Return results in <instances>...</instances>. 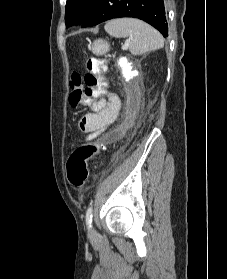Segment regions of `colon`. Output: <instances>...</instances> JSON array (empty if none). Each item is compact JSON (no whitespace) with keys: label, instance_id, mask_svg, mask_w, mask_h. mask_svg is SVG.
Returning a JSON list of instances; mask_svg holds the SVG:
<instances>
[{"label":"colon","instance_id":"1","mask_svg":"<svg viewBox=\"0 0 227 279\" xmlns=\"http://www.w3.org/2000/svg\"><path fill=\"white\" fill-rule=\"evenodd\" d=\"M106 79L103 74L101 60L93 57L87 62V73L81 77L73 73L70 86L69 103L73 106L88 105L93 99L103 95ZM103 144L92 143L77 147L67 162V176L70 184L82 188L88 179V161L100 153Z\"/></svg>","mask_w":227,"mask_h":279}]
</instances>
